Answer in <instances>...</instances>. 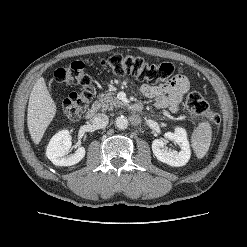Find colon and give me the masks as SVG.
I'll use <instances>...</instances> for the list:
<instances>
[{
    "mask_svg": "<svg viewBox=\"0 0 247 247\" xmlns=\"http://www.w3.org/2000/svg\"><path fill=\"white\" fill-rule=\"evenodd\" d=\"M100 65L116 76L128 74L140 80L157 83L168 79L176 67L171 63H149L144 58L133 55H114L103 58ZM55 82L66 86L80 85L81 89L70 93L60 104L59 110L68 118H78L88 107L93 83L86 66L81 61L58 68L54 72ZM187 108L198 116H204L212 126L220 124V115L210 110L207 101L198 92H191L186 98Z\"/></svg>",
    "mask_w": 247,
    "mask_h": 247,
    "instance_id": "colon-1",
    "label": "colon"
}]
</instances>
